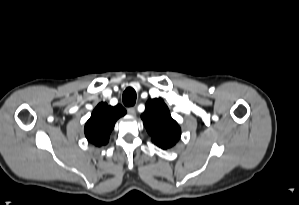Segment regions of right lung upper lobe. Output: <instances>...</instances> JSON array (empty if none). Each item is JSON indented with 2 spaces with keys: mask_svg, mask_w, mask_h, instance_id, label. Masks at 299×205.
<instances>
[{
  "mask_svg": "<svg viewBox=\"0 0 299 205\" xmlns=\"http://www.w3.org/2000/svg\"><path fill=\"white\" fill-rule=\"evenodd\" d=\"M125 114V109L120 105L111 107L106 103H99L85 125L87 140L95 146L106 144L116 120Z\"/></svg>",
  "mask_w": 299,
  "mask_h": 205,
  "instance_id": "right-lung-upper-lobe-1",
  "label": "right lung upper lobe"
}]
</instances>
